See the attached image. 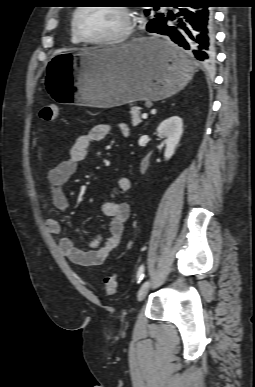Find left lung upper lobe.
<instances>
[{
  "label": "left lung upper lobe",
  "mask_w": 255,
  "mask_h": 387,
  "mask_svg": "<svg viewBox=\"0 0 255 387\" xmlns=\"http://www.w3.org/2000/svg\"><path fill=\"white\" fill-rule=\"evenodd\" d=\"M149 1H150V0H137L136 3H138V4H148V3H150ZM158 9H159L158 6L154 7V10H158ZM145 14H146V15H149V14H150V10H145ZM162 16H163V14H161V13L155 15L156 18L162 17ZM156 18H154V19H156ZM152 20H153V19H152ZM150 21H151V20H150Z\"/></svg>",
  "instance_id": "1"
}]
</instances>
